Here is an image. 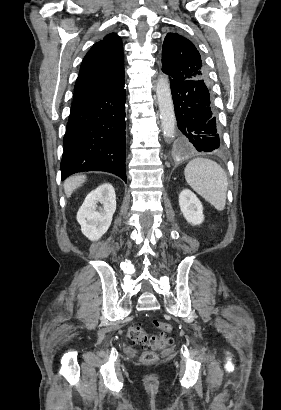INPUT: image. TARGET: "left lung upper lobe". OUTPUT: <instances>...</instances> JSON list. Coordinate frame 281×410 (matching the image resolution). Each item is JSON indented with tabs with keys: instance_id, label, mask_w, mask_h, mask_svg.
Listing matches in <instances>:
<instances>
[{
	"instance_id": "1",
	"label": "left lung upper lobe",
	"mask_w": 281,
	"mask_h": 410,
	"mask_svg": "<svg viewBox=\"0 0 281 410\" xmlns=\"http://www.w3.org/2000/svg\"><path fill=\"white\" fill-rule=\"evenodd\" d=\"M162 71L175 80H208L194 44L177 33H168L162 46Z\"/></svg>"
}]
</instances>
